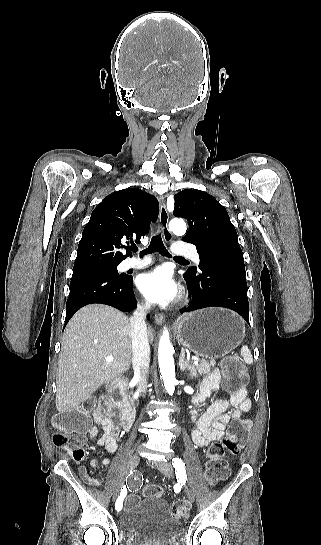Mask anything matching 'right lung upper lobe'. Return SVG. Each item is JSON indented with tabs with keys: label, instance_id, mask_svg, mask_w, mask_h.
I'll use <instances>...</instances> for the list:
<instances>
[{
	"label": "right lung upper lobe",
	"instance_id": "cb5924a9",
	"mask_svg": "<svg viewBox=\"0 0 321 545\" xmlns=\"http://www.w3.org/2000/svg\"><path fill=\"white\" fill-rule=\"evenodd\" d=\"M157 199L140 190L128 188L104 198L91 214L78 245L73 270L116 265L131 255L123 254L126 240L140 242L158 217ZM129 244V242H126Z\"/></svg>",
	"mask_w": 321,
	"mask_h": 545
}]
</instances>
